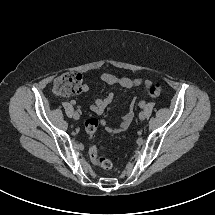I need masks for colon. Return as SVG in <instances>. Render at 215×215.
Wrapping results in <instances>:
<instances>
[{"instance_id":"colon-1","label":"colon","mask_w":215,"mask_h":215,"mask_svg":"<svg viewBox=\"0 0 215 215\" xmlns=\"http://www.w3.org/2000/svg\"><path fill=\"white\" fill-rule=\"evenodd\" d=\"M54 91L57 94H76L83 91L82 76L74 71L62 73L54 82ZM162 86L159 82L149 84L147 93L152 98L160 96ZM99 125L96 118L88 119L85 123V130L90 138H93L94 133ZM89 157L91 163L103 170H110L113 167V162L106 156L98 154L97 147L91 146L89 149Z\"/></svg>"}]
</instances>
